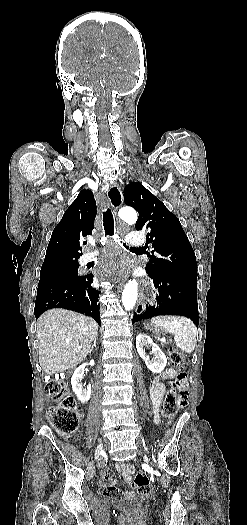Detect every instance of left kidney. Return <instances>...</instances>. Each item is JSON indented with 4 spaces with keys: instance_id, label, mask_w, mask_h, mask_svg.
Listing matches in <instances>:
<instances>
[{
    "instance_id": "left-kidney-1",
    "label": "left kidney",
    "mask_w": 247,
    "mask_h": 525,
    "mask_svg": "<svg viewBox=\"0 0 247 525\" xmlns=\"http://www.w3.org/2000/svg\"><path fill=\"white\" fill-rule=\"evenodd\" d=\"M144 347H150L152 355H154V361H150V357L146 355ZM136 349L141 359H144L146 367L152 371V373H161L164 371L167 365V359L162 353L161 349L153 343L152 339L144 333H139L136 337Z\"/></svg>"
}]
</instances>
